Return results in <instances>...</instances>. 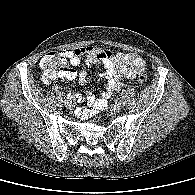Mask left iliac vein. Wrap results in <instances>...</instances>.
Returning <instances> with one entry per match:
<instances>
[{"label":"left iliac vein","instance_id":"1","mask_svg":"<svg viewBox=\"0 0 195 195\" xmlns=\"http://www.w3.org/2000/svg\"><path fill=\"white\" fill-rule=\"evenodd\" d=\"M113 112H120L122 109V106L119 102H116L112 107H111Z\"/></svg>","mask_w":195,"mask_h":195}]
</instances>
